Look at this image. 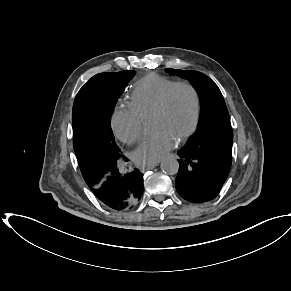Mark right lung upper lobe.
<instances>
[{
  "instance_id": "cb5924a9",
  "label": "right lung upper lobe",
  "mask_w": 291,
  "mask_h": 291,
  "mask_svg": "<svg viewBox=\"0 0 291 291\" xmlns=\"http://www.w3.org/2000/svg\"><path fill=\"white\" fill-rule=\"evenodd\" d=\"M85 181H86L87 185L90 187V189L97 187V184L91 178L86 177Z\"/></svg>"
}]
</instances>
